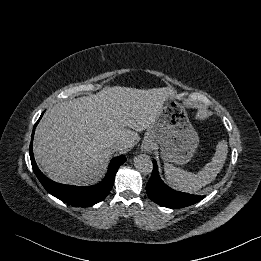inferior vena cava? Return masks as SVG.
I'll use <instances>...</instances> for the list:
<instances>
[{
    "label": "inferior vena cava",
    "mask_w": 261,
    "mask_h": 261,
    "mask_svg": "<svg viewBox=\"0 0 261 261\" xmlns=\"http://www.w3.org/2000/svg\"><path fill=\"white\" fill-rule=\"evenodd\" d=\"M123 146V143L121 141H118L112 145V148L114 150H119Z\"/></svg>",
    "instance_id": "inferior-vena-cava-1"
}]
</instances>
